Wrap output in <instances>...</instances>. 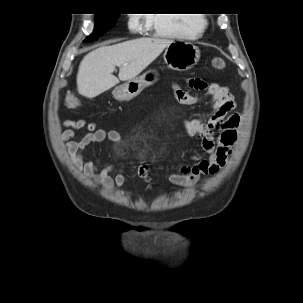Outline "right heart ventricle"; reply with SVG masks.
<instances>
[{"label":"right heart ventricle","mask_w":303,"mask_h":303,"mask_svg":"<svg viewBox=\"0 0 303 303\" xmlns=\"http://www.w3.org/2000/svg\"><path fill=\"white\" fill-rule=\"evenodd\" d=\"M146 21L162 36H197L203 25L193 14H148Z\"/></svg>","instance_id":"obj_1"}]
</instances>
